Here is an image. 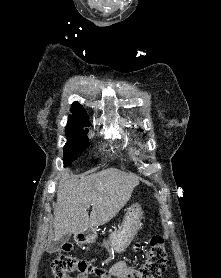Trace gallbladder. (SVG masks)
Here are the masks:
<instances>
[{
    "mask_svg": "<svg viewBox=\"0 0 221 278\" xmlns=\"http://www.w3.org/2000/svg\"><path fill=\"white\" fill-rule=\"evenodd\" d=\"M70 239V235L66 234L63 237H61V239H59L58 241L54 242L50 247L49 250L50 251H59L61 249V247L67 243Z\"/></svg>",
    "mask_w": 221,
    "mask_h": 278,
    "instance_id": "1",
    "label": "gallbladder"
}]
</instances>
